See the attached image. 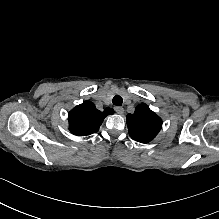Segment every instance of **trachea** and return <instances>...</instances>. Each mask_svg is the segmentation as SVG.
Instances as JSON below:
<instances>
[{
	"mask_svg": "<svg viewBox=\"0 0 219 219\" xmlns=\"http://www.w3.org/2000/svg\"><path fill=\"white\" fill-rule=\"evenodd\" d=\"M112 102H113V104L116 105V106H121L122 103H123V99H122L121 96L115 95V96L113 97Z\"/></svg>",
	"mask_w": 219,
	"mask_h": 219,
	"instance_id": "obj_1",
	"label": "trachea"
}]
</instances>
